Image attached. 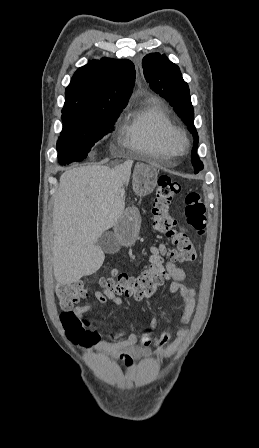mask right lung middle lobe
<instances>
[{
	"label": "right lung middle lobe",
	"instance_id": "dd1d6c3e",
	"mask_svg": "<svg viewBox=\"0 0 259 448\" xmlns=\"http://www.w3.org/2000/svg\"><path fill=\"white\" fill-rule=\"evenodd\" d=\"M123 109L80 112L62 115L63 130L57 141L61 165L80 162L94 144L113 130Z\"/></svg>",
	"mask_w": 259,
	"mask_h": 448
}]
</instances>
